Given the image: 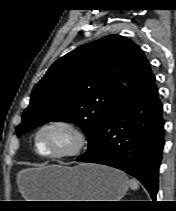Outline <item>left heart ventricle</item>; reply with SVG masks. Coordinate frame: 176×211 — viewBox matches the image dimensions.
<instances>
[{
	"mask_svg": "<svg viewBox=\"0 0 176 211\" xmlns=\"http://www.w3.org/2000/svg\"><path fill=\"white\" fill-rule=\"evenodd\" d=\"M71 137L62 129L53 128L41 133L38 138V149L42 153H54L71 147Z\"/></svg>",
	"mask_w": 176,
	"mask_h": 211,
	"instance_id": "left-heart-ventricle-1",
	"label": "left heart ventricle"
}]
</instances>
